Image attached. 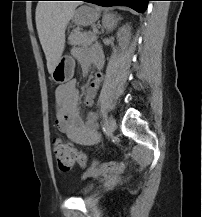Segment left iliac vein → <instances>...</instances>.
Here are the masks:
<instances>
[{"instance_id": "1", "label": "left iliac vein", "mask_w": 202, "mask_h": 217, "mask_svg": "<svg viewBox=\"0 0 202 217\" xmlns=\"http://www.w3.org/2000/svg\"><path fill=\"white\" fill-rule=\"evenodd\" d=\"M105 128H106V133L108 135H112L115 128H116V121L115 119L110 116L105 120Z\"/></svg>"}]
</instances>
